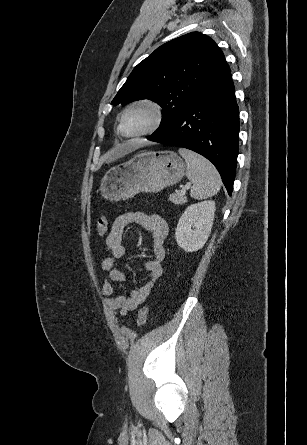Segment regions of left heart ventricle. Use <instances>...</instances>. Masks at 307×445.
Listing matches in <instances>:
<instances>
[{"label": "left heart ventricle", "instance_id": "b2bd125f", "mask_svg": "<svg viewBox=\"0 0 307 445\" xmlns=\"http://www.w3.org/2000/svg\"><path fill=\"white\" fill-rule=\"evenodd\" d=\"M155 120L154 110L147 105H137L130 108L124 120L126 133L134 134L151 127Z\"/></svg>", "mask_w": 307, "mask_h": 445}]
</instances>
